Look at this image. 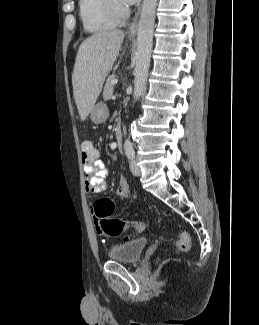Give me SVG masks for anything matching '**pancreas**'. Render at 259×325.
<instances>
[{
    "mask_svg": "<svg viewBox=\"0 0 259 325\" xmlns=\"http://www.w3.org/2000/svg\"><path fill=\"white\" fill-rule=\"evenodd\" d=\"M114 79V76H109L106 80L104 90H103V99L105 101L109 100L114 92V85L111 83V81Z\"/></svg>",
    "mask_w": 259,
    "mask_h": 325,
    "instance_id": "obj_1",
    "label": "pancreas"
}]
</instances>
